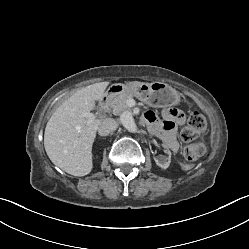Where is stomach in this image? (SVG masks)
I'll list each match as a JSON object with an SVG mask.
<instances>
[{"label":"stomach","instance_id":"stomach-1","mask_svg":"<svg viewBox=\"0 0 249 249\" xmlns=\"http://www.w3.org/2000/svg\"><path fill=\"white\" fill-rule=\"evenodd\" d=\"M112 94H129L154 108L173 106L179 103L180 95L171 86L162 82L133 81L127 84H114L109 87Z\"/></svg>","mask_w":249,"mask_h":249}]
</instances>
